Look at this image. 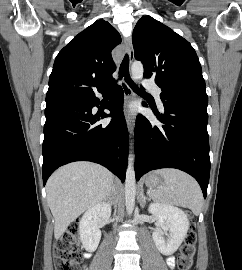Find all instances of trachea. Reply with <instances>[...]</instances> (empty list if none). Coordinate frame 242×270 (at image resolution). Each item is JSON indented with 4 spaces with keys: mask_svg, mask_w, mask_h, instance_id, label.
I'll use <instances>...</instances> for the list:
<instances>
[{
    "mask_svg": "<svg viewBox=\"0 0 242 270\" xmlns=\"http://www.w3.org/2000/svg\"><path fill=\"white\" fill-rule=\"evenodd\" d=\"M129 57L128 55H125L122 63H121V66H120V69H119V75L120 77H123L125 76L126 78V82L128 83V85L136 92H144L142 90H140L137 85L131 80L130 76H129Z\"/></svg>",
    "mask_w": 242,
    "mask_h": 270,
    "instance_id": "trachea-1",
    "label": "trachea"
}]
</instances>
